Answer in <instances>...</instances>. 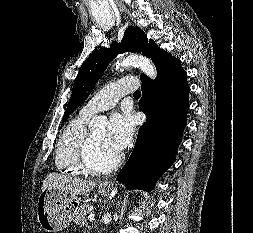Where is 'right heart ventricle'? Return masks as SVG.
<instances>
[{
	"label": "right heart ventricle",
	"instance_id": "e07e8e85",
	"mask_svg": "<svg viewBox=\"0 0 253 233\" xmlns=\"http://www.w3.org/2000/svg\"><path fill=\"white\" fill-rule=\"evenodd\" d=\"M89 116L82 114L74 117L63 129L56 144L55 167L65 175L86 174L77 164L78 148L87 135L86 122Z\"/></svg>",
	"mask_w": 253,
	"mask_h": 233
}]
</instances>
